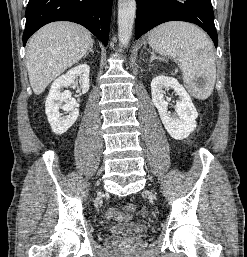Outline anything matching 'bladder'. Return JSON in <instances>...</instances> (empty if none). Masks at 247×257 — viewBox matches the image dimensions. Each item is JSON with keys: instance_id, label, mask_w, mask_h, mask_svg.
Instances as JSON below:
<instances>
[{"instance_id": "obj_1", "label": "bladder", "mask_w": 247, "mask_h": 257, "mask_svg": "<svg viewBox=\"0 0 247 257\" xmlns=\"http://www.w3.org/2000/svg\"><path fill=\"white\" fill-rule=\"evenodd\" d=\"M149 227L144 224L122 223L109 227L107 232L113 237L135 239L148 234Z\"/></svg>"}]
</instances>
